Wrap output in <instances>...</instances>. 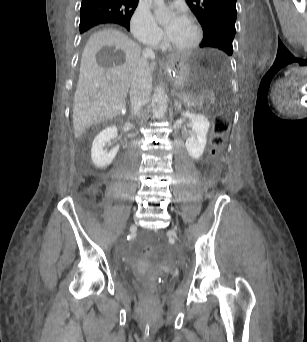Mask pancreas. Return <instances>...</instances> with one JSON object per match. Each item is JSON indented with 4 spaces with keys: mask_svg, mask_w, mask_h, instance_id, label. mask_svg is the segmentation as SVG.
<instances>
[{
    "mask_svg": "<svg viewBox=\"0 0 307 342\" xmlns=\"http://www.w3.org/2000/svg\"><path fill=\"white\" fill-rule=\"evenodd\" d=\"M187 103L190 101L188 98L185 100ZM195 102L197 103V104H200L201 102H202V99L200 98V97H197L196 99H195ZM194 101L191 103L193 106L196 104Z\"/></svg>",
    "mask_w": 307,
    "mask_h": 342,
    "instance_id": "pancreas-1",
    "label": "pancreas"
}]
</instances>
